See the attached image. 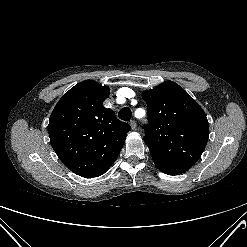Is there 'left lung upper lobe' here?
I'll return each instance as SVG.
<instances>
[{
  "label": "left lung upper lobe",
  "instance_id": "5c2ea615",
  "mask_svg": "<svg viewBox=\"0 0 247 247\" xmlns=\"http://www.w3.org/2000/svg\"><path fill=\"white\" fill-rule=\"evenodd\" d=\"M148 125L144 141L151 156L193 166L209 137L207 117L198 103L178 84L165 81L144 91Z\"/></svg>",
  "mask_w": 247,
  "mask_h": 247
}]
</instances>
